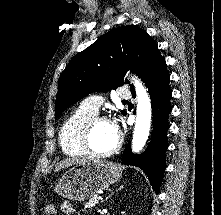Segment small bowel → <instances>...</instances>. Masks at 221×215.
Instances as JSON below:
<instances>
[{
	"label": "small bowel",
	"mask_w": 221,
	"mask_h": 215,
	"mask_svg": "<svg viewBox=\"0 0 221 215\" xmlns=\"http://www.w3.org/2000/svg\"><path fill=\"white\" fill-rule=\"evenodd\" d=\"M61 211L62 213H64L65 215H72L74 213V207L71 203L69 202H64L61 205Z\"/></svg>",
	"instance_id": "c3829d8e"
}]
</instances>
